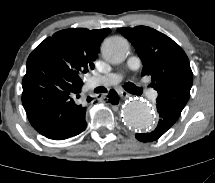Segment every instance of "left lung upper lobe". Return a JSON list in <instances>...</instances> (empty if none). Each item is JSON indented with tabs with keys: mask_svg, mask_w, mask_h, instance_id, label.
Masks as SVG:
<instances>
[{
	"mask_svg": "<svg viewBox=\"0 0 215 183\" xmlns=\"http://www.w3.org/2000/svg\"><path fill=\"white\" fill-rule=\"evenodd\" d=\"M118 31L133 44L140 56L142 75L151 76V86L158 92L157 104L179 117L193 83L185 52L168 36L149 27L118 28Z\"/></svg>",
	"mask_w": 215,
	"mask_h": 183,
	"instance_id": "obj_1",
	"label": "left lung upper lobe"
}]
</instances>
